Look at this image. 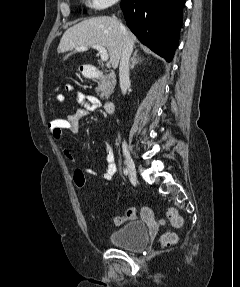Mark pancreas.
<instances>
[{"mask_svg": "<svg viewBox=\"0 0 240 287\" xmlns=\"http://www.w3.org/2000/svg\"><path fill=\"white\" fill-rule=\"evenodd\" d=\"M96 92L102 100L107 99L116 85L115 75L113 73L105 74L98 79Z\"/></svg>", "mask_w": 240, "mask_h": 287, "instance_id": "cf45deb5", "label": "pancreas"}]
</instances>
